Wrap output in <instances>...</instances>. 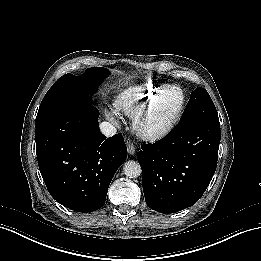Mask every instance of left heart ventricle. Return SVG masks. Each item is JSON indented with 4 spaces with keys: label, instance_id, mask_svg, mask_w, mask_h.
<instances>
[{
    "label": "left heart ventricle",
    "instance_id": "left-heart-ventricle-1",
    "mask_svg": "<svg viewBox=\"0 0 261 261\" xmlns=\"http://www.w3.org/2000/svg\"><path fill=\"white\" fill-rule=\"evenodd\" d=\"M179 104V95L175 90L168 91L158 99L145 119V123L162 125L175 112Z\"/></svg>",
    "mask_w": 261,
    "mask_h": 261
}]
</instances>
